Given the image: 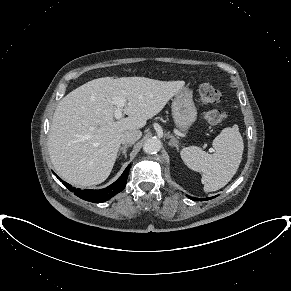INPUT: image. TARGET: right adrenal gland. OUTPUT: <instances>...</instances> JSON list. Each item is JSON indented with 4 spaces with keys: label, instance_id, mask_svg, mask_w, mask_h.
<instances>
[{
    "label": "right adrenal gland",
    "instance_id": "obj_1",
    "mask_svg": "<svg viewBox=\"0 0 291 291\" xmlns=\"http://www.w3.org/2000/svg\"><path fill=\"white\" fill-rule=\"evenodd\" d=\"M129 147H131V144H125V145H123V146L119 149V151H118V156H119L120 153L122 152L123 155H124V157L127 158V149H128Z\"/></svg>",
    "mask_w": 291,
    "mask_h": 291
}]
</instances>
